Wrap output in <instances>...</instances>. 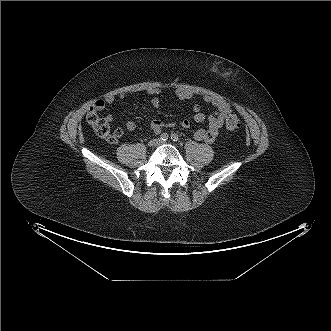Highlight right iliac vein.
<instances>
[{
  "label": "right iliac vein",
  "mask_w": 331,
  "mask_h": 331,
  "mask_svg": "<svg viewBox=\"0 0 331 331\" xmlns=\"http://www.w3.org/2000/svg\"><path fill=\"white\" fill-rule=\"evenodd\" d=\"M158 144H159V141L157 139H153L148 142L149 147H154V146H157Z\"/></svg>",
  "instance_id": "right-iliac-vein-1"
}]
</instances>
